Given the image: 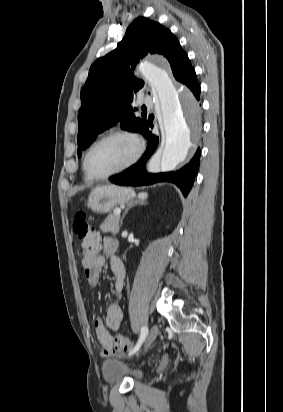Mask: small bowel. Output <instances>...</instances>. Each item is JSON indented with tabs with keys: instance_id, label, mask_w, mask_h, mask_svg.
<instances>
[{
	"instance_id": "small-bowel-1",
	"label": "small bowel",
	"mask_w": 283,
	"mask_h": 412,
	"mask_svg": "<svg viewBox=\"0 0 283 412\" xmlns=\"http://www.w3.org/2000/svg\"><path fill=\"white\" fill-rule=\"evenodd\" d=\"M97 236L99 241L98 253L93 259L83 257L82 267L87 282L91 286L96 287L100 281L101 271L105 264V259L99 255V251H103V253L109 257V267L114 280L113 294L115 295V299L107 307L105 320L101 318L95 319L94 329L98 342L106 351V354L109 356H119L121 352L113 349L112 331L119 329L123 319L119 299L124 283L125 269L122 261L114 256L117 249L116 240L109 237L101 239L99 235Z\"/></svg>"
}]
</instances>
